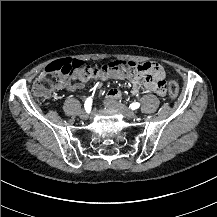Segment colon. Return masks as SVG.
Returning <instances> with one entry per match:
<instances>
[{"mask_svg":"<svg viewBox=\"0 0 217 217\" xmlns=\"http://www.w3.org/2000/svg\"><path fill=\"white\" fill-rule=\"evenodd\" d=\"M91 64L77 61L75 58H64L54 62L45 71L37 75V80L33 86V95L39 100H46L54 94V87L68 78V74L80 71L89 73ZM103 71L127 70L134 74L139 82L156 84L160 79L165 78L163 66L157 62L135 63L127 60H112L100 63ZM167 93L171 99H176L179 94V87L175 81H171L167 88Z\"/></svg>","mask_w":217,"mask_h":217,"instance_id":"obj_1","label":"colon"}]
</instances>
